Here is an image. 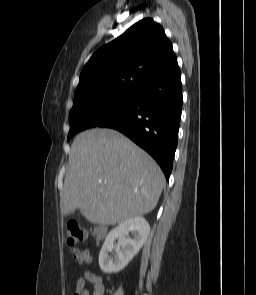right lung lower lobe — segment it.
I'll return each mask as SVG.
<instances>
[{
  "label": "right lung lower lobe",
  "instance_id": "98d812e1",
  "mask_svg": "<svg viewBox=\"0 0 256 295\" xmlns=\"http://www.w3.org/2000/svg\"><path fill=\"white\" fill-rule=\"evenodd\" d=\"M182 107L181 72L174 56L135 92L133 105L105 120H85L91 127L116 129L146 150L168 180L178 142Z\"/></svg>",
  "mask_w": 256,
  "mask_h": 295
}]
</instances>
